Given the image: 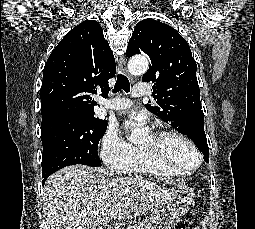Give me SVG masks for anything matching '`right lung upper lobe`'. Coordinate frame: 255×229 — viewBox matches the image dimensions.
Masks as SVG:
<instances>
[{"label":"right lung upper lobe","mask_w":255,"mask_h":229,"mask_svg":"<svg viewBox=\"0 0 255 229\" xmlns=\"http://www.w3.org/2000/svg\"><path fill=\"white\" fill-rule=\"evenodd\" d=\"M115 59L100 24L87 20L74 27L50 54L41 86L42 120L57 116H94L92 95L107 97Z\"/></svg>","instance_id":"1"}]
</instances>
